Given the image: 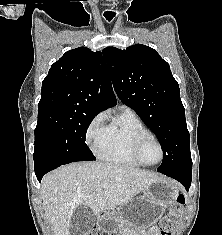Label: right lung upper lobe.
Instances as JSON below:
<instances>
[{"mask_svg": "<svg viewBox=\"0 0 222 235\" xmlns=\"http://www.w3.org/2000/svg\"><path fill=\"white\" fill-rule=\"evenodd\" d=\"M116 105L102 53L79 47L52 64L42 82L38 113L58 107L101 112Z\"/></svg>", "mask_w": 222, "mask_h": 235, "instance_id": "cb5924a9", "label": "right lung upper lobe"}]
</instances>
